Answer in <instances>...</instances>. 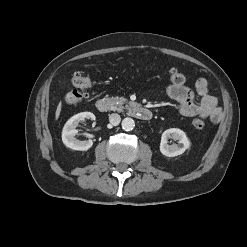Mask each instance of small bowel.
Listing matches in <instances>:
<instances>
[{"label":"small bowel","mask_w":247,"mask_h":247,"mask_svg":"<svg viewBox=\"0 0 247 247\" xmlns=\"http://www.w3.org/2000/svg\"><path fill=\"white\" fill-rule=\"evenodd\" d=\"M199 101L195 102L194 92L185 85L170 84L166 88V95L179 103V114L184 117H200L210 119L213 123L221 121L223 114L217 99L209 93L208 82L199 78L195 83Z\"/></svg>","instance_id":"small-bowel-1"}]
</instances>
